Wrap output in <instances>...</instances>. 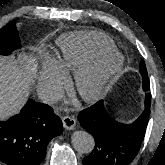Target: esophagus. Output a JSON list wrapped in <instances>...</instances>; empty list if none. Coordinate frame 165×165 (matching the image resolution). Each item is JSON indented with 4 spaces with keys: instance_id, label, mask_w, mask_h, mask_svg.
I'll return each instance as SVG.
<instances>
[{
    "instance_id": "esophagus-1",
    "label": "esophagus",
    "mask_w": 165,
    "mask_h": 165,
    "mask_svg": "<svg viewBox=\"0 0 165 165\" xmlns=\"http://www.w3.org/2000/svg\"><path fill=\"white\" fill-rule=\"evenodd\" d=\"M62 123L65 129L72 130L75 127L76 120L74 117L65 116L62 118Z\"/></svg>"
}]
</instances>
